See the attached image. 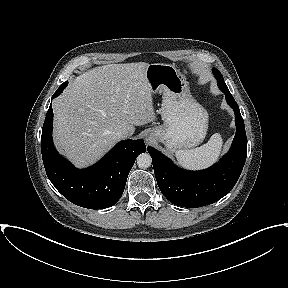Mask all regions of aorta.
Segmentation results:
<instances>
[{
	"label": "aorta",
	"instance_id": "1",
	"mask_svg": "<svg viewBox=\"0 0 288 288\" xmlns=\"http://www.w3.org/2000/svg\"><path fill=\"white\" fill-rule=\"evenodd\" d=\"M136 160L138 167L142 169L150 167L152 163V158L149 153L140 154Z\"/></svg>",
	"mask_w": 288,
	"mask_h": 288
}]
</instances>
